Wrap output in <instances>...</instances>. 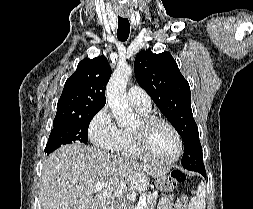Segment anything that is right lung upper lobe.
Segmentation results:
<instances>
[{
	"label": "right lung upper lobe",
	"instance_id": "cb5924a9",
	"mask_svg": "<svg viewBox=\"0 0 253 209\" xmlns=\"http://www.w3.org/2000/svg\"><path fill=\"white\" fill-rule=\"evenodd\" d=\"M110 76L111 68L105 56L80 61L65 82L54 120L101 110L106 103L105 89Z\"/></svg>",
	"mask_w": 253,
	"mask_h": 209
}]
</instances>
